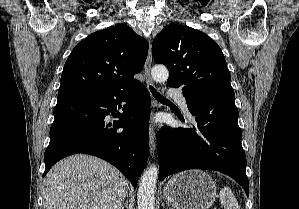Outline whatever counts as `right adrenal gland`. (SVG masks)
<instances>
[{
	"instance_id": "2a0ac1e0",
	"label": "right adrenal gland",
	"mask_w": 299,
	"mask_h": 209,
	"mask_svg": "<svg viewBox=\"0 0 299 209\" xmlns=\"http://www.w3.org/2000/svg\"><path fill=\"white\" fill-rule=\"evenodd\" d=\"M120 209H124V206H121V208Z\"/></svg>"
}]
</instances>
